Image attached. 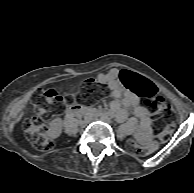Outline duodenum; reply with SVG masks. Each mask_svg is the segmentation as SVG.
<instances>
[{"label": "duodenum", "mask_w": 194, "mask_h": 193, "mask_svg": "<svg viewBox=\"0 0 194 193\" xmlns=\"http://www.w3.org/2000/svg\"><path fill=\"white\" fill-rule=\"evenodd\" d=\"M67 112L73 114V115H94L96 117H99L101 119H104L106 114L104 112L92 110L88 107L79 106V105H72L68 107Z\"/></svg>", "instance_id": "duodenum-1"}]
</instances>
